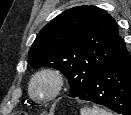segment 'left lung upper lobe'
<instances>
[{
  "label": "left lung upper lobe",
  "instance_id": "obj_1",
  "mask_svg": "<svg viewBox=\"0 0 131 115\" xmlns=\"http://www.w3.org/2000/svg\"><path fill=\"white\" fill-rule=\"evenodd\" d=\"M126 51L109 14L95 6H77L62 12L39 32L29 61L34 68L60 69L71 86L68 96L74 98Z\"/></svg>",
  "mask_w": 131,
  "mask_h": 115
}]
</instances>
